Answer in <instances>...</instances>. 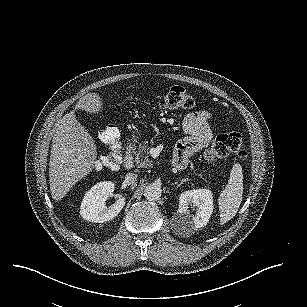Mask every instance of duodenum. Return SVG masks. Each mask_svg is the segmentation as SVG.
Instances as JSON below:
<instances>
[{"instance_id": "1", "label": "duodenum", "mask_w": 307, "mask_h": 307, "mask_svg": "<svg viewBox=\"0 0 307 307\" xmlns=\"http://www.w3.org/2000/svg\"><path fill=\"white\" fill-rule=\"evenodd\" d=\"M123 166L126 170H130L134 166V159L132 155V148H128L124 158Z\"/></svg>"}]
</instances>
